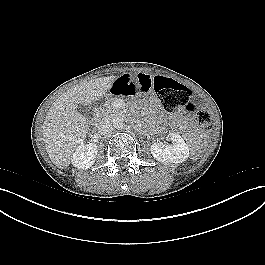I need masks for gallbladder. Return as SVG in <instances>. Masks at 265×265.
Returning a JSON list of instances; mask_svg holds the SVG:
<instances>
[{
	"label": "gallbladder",
	"mask_w": 265,
	"mask_h": 265,
	"mask_svg": "<svg viewBox=\"0 0 265 265\" xmlns=\"http://www.w3.org/2000/svg\"><path fill=\"white\" fill-rule=\"evenodd\" d=\"M79 111L87 118L91 119L94 116V111L87 106L80 105Z\"/></svg>",
	"instance_id": "obj_1"
}]
</instances>
